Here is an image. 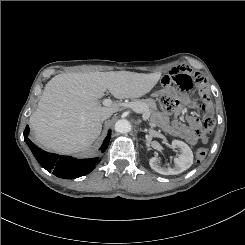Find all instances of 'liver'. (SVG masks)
<instances>
[{"label": "liver", "mask_w": 245, "mask_h": 245, "mask_svg": "<svg viewBox=\"0 0 245 245\" xmlns=\"http://www.w3.org/2000/svg\"><path fill=\"white\" fill-rule=\"evenodd\" d=\"M161 72L130 71L63 73L45 86L30 125L36 141L62 154L84 151L100 135L101 118L119 110V103L101 106L108 90L115 98H139L157 84Z\"/></svg>", "instance_id": "1"}]
</instances>
